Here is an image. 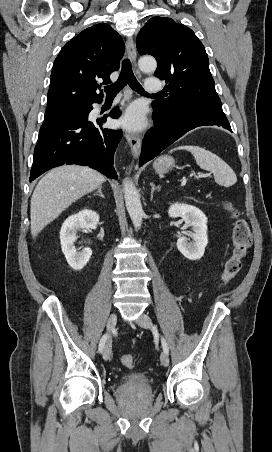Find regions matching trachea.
Here are the masks:
<instances>
[{"label":"trachea","mask_w":272,"mask_h":452,"mask_svg":"<svg viewBox=\"0 0 272 452\" xmlns=\"http://www.w3.org/2000/svg\"><path fill=\"white\" fill-rule=\"evenodd\" d=\"M127 84L137 93L148 95L134 76L130 61L125 59L122 63V70L118 80L104 89L107 97L116 96Z\"/></svg>","instance_id":"3493384b"}]
</instances>
